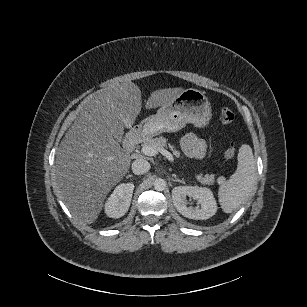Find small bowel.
I'll use <instances>...</instances> for the list:
<instances>
[{
    "label": "small bowel",
    "instance_id": "obj_1",
    "mask_svg": "<svg viewBox=\"0 0 307 307\" xmlns=\"http://www.w3.org/2000/svg\"><path fill=\"white\" fill-rule=\"evenodd\" d=\"M184 153L194 159H201L205 154V143L194 133H188L181 139Z\"/></svg>",
    "mask_w": 307,
    "mask_h": 307
}]
</instances>
